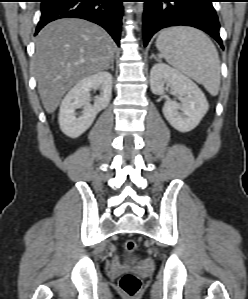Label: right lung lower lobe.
<instances>
[{
    "label": "right lung lower lobe",
    "instance_id": "obj_1",
    "mask_svg": "<svg viewBox=\"0 0 248 299\" xmlns=\"http://www.w3.org/2000/svg\"><path fill=\"white\" fill-rule=\"evenodd\" d=\"M124 0H41L36 34L47 23L66 17L82 18L102 26L120 45Z\"/></svg>",
    "mask_w": 248,
    "mask_h": 299
}]
</instances>
